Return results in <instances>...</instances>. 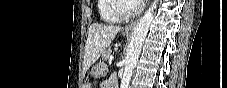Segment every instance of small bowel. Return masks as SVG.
<instances>
[{
	"mask_svg": "<svg viewBox=\"0 0 227 88\" xmlns=\"http://www.w3.org/2000/svg\"><path fill=\"white\" fill-rule=\"evenodd\" d=\"M117 79L116 75H112L108 80H106L103 84H102V88H113V81Z\"/></svg>",
	"mask_w": 227,
	"mask_h": 88,
	"instance_id": "c3829d8e",
	"label": "small bowel"
}]
</instances>
